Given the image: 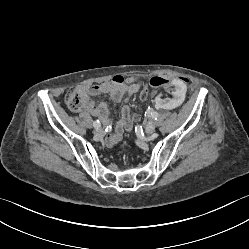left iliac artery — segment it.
Returning a JSON list of instances; mask_svg holds the SVG:
<instances>
[{
	"label": "left iliac artery",
	"mask_w": 249,
	"mask_h": 249,
	"mask_svg": "<svg viewBox=\"0 0 249 249\" xmlns=\"http://www.w3.org/2000/svg\"><path fill=\"white\" fill-rule=\"evenodd\" d=\"M148 114L153 118V119H157L158 117V113L156 111H152V110H149L148 111Z\"/></svg>",
	"instance_id": "1"
}]
</instances>
